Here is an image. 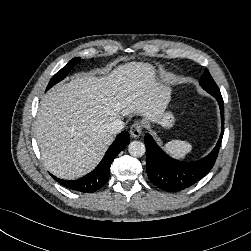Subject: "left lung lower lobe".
<instances>
[{"mask_svg":"<svg viewBox=\"0 0 251 251\" xmlns=\"http://www.w3.org/2000/svg\"><path fill=\"white\" fill-rule=\"evenodd\" d=\"M211 95L216 98L220 107L222 133L215 148L206 157L193 162L173 159L163 152L148 133L145 135L146 170L150 181L158 188L168 192L184 190L201 180L214 166L224 132V103L221 93Z\"/></svg>","mask_w":251,"mask_h":251,"instance_id":"left-lung-lower-lobe-1","label":"left lung lower lobe"}]
</instances>
